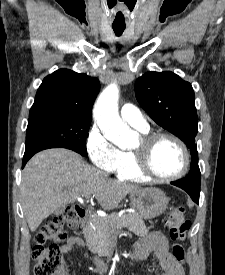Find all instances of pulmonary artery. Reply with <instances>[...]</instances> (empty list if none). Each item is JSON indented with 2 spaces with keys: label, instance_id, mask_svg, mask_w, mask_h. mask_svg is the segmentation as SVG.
<instances>
[{
  "label": "pulmonary artery",
  "instance_id": "obj_1",
  "mask_svg": "<svg viewBox=\"0 0 225 275\" xmlns=\"http://www.w3.org/2000/svg\"><path fill=\"white\" fill-rule=\"evenodd\" d=\"M124 121L138 129H148V124L142 113L131 103L124 104L120 109Z\"/></svg>",
  "mask_w": 225,
  "mask_h": 275
}]
</instances>
